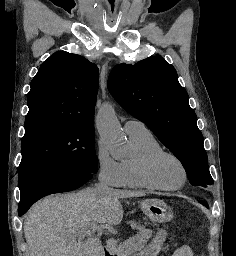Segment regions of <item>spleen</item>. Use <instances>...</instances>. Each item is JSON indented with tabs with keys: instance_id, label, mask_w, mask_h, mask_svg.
<instances>
[{
	"instance_id": "obj_1",
	"label": "spleen",
	"mask_w": 236,
	"mask_h": 256,
	"mask_svg": "<svg viewBox=\"0 0 236 256\" xmlns=\"http://www.w3.org/2000/svg\"><path fill=\"white\" fill-rule=\"evenodd\" d=\"M174 256H193V252L189 246H183L180 250H177Z\"/></svg>"
}]
</instances>
